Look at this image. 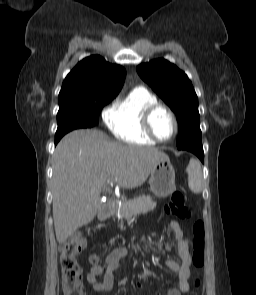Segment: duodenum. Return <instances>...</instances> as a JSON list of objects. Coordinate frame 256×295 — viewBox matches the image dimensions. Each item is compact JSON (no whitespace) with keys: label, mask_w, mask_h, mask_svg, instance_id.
I'll return each mask as SVG.
<instances>
[{"label":"duodenum","mask_w":256,"mask_h":295,"mask_svg":"<svg viewBox=\"0 0 256 295\" xmlns=\"http://www.w3.org/2000/svg\"><path fill=\"white\" fill-rule=\"evenodd\" d=\"M112 212V205L109 203L102 204L99 207L98 216L101 220L107 219Z\"/></svg>","instance_id":"410a0bca"}]
</instances>
